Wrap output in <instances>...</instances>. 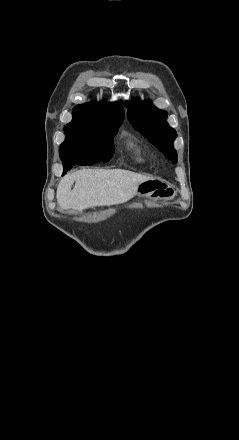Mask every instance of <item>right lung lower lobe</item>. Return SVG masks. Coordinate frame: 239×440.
Instances as JSON below:
<instances>
[{"instance_id":"1","label":"right lung lower lobe","mask_w":239,"mask_h":440,"mask_svg":"<svg viewBox=\"0 0 239 440\" xmlns=\"http://www.w3.org/2000/svg\"><path fill=\"white\" fill-rule=\"evenodd\" d=\"M114 150L101 149L98 147H70L60 151L65 174L72 166L93 165L97 162H107L113 156Z\"/></svg>"}]
</instances>
